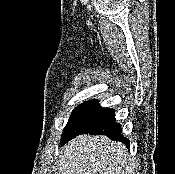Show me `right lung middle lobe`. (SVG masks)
<instances>
[{
  "label": "right lung middle lobe",
  "mask_w": 175,
  "mask_h": 174,
  "mask_svg": "<svg viewBox=\"0 0 175 174\" xmlns=\"http://www.w3.org/2000/svg\"><path fill=\"white\" fill-rule=\"evenodd\" d=\"M83 105H84V103L81 104L80 106L76 107V108L73 110L72 115H71V117H70V119H69V121H68V123H67V125H66V127H65V129H64V131H63L62 137L64 136V134H65V132L67 131L68 127L70 126L72 120L75 118V116L77 115V113L79 112V110L81 109V107H82Z\"/></svg>",
  "instance_id": "1"
}]
</instances>
